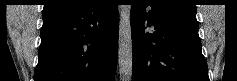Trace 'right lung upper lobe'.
<instances>
[{"label": "right lung upper lobe", "mask_w": 237, "mask_h": 81, "mask_svg": "<svg viewBox=\"0 0 237 81\" xmlns=\"http://www.w3.org/2000/svg\"><path fill=\"white\" fill-rule=\"evenodd\" d=\"M85 0H46L42 17L80 6Z\"/></svg>", "instance_id": "cb5924a9"}]
</instances>
